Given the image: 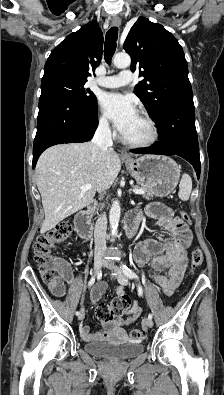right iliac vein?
I'll return each instance as SVG.
<instances>
[{"instance_id":"1","label":"right iliac vein","mask_w":224,"mask_h":395,"mask_svg":"<svg viewBox=\"0 0 224 395\" xmlns=\"http://www.w3.org/2000/svg\"><path fill=\"white\" fill-rule=\"evenodd\" d=\"M102 262H103V256L102 255H96L95 258H94V271H95V273H97L99 271V269L101 268ZM84 317H85V312L82 309L80 314H79V316H78V319L79 320H83Z\"/></svg>"}]
</instances>
